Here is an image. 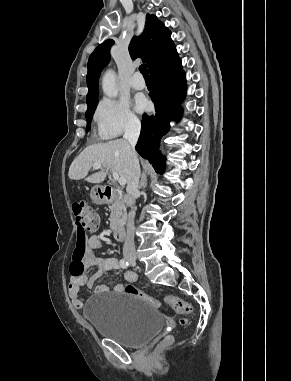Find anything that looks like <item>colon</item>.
<instances>
[{
	"label": "colon",
	"mask_w": 291,
	"mask_h": 381,
	"mask_svg": "<svg viewBox=\"0 0 291 381\" xmlns=\"http://www.w3.org/2000/svg\"><path fill=\"white\" fill-rule=\"evenodd\" d=\"M72 210L78 227L77 244L73 254V262L75 264L76 270L80 271L82 270V259L85 252L86 232H94L98 229L99 218L97 215L92 213L91 209L84 201L75 202L72 206ZM124 291L128 294L143 299L154 307L160 306V303L155 298L132 285H127ZM163 301L166 304L170 305L176 312L183 315V317L180 319V323L185 325L187 323V316L191 315L193 312L192 306L177 296H164ZM166 341H169V338H167Z\"/></svg>",
	"instance_id": "5ec220e1"
}]
</instances>
